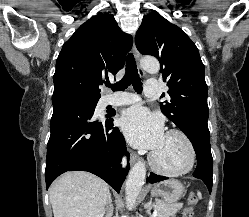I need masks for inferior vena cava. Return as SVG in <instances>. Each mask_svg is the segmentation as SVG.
<instances>
[{
    "mask_svg": "<svg viewBox=\"0 0 249 217\" xmlns=\"http://www.w3.org/2000/svg\"><path fill=\"white\" fill-rule=\"evenodd\" d=\"M122 165H123V166L126 165V160H125V158H123V160H122Z\"/></svg>",
    "mask_w": 249,
    "mask_h": 217,
    "instance_id": "602c4592",
    "label": "inferior vena cava"
}]
</instances>
